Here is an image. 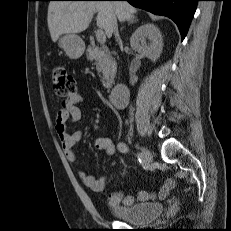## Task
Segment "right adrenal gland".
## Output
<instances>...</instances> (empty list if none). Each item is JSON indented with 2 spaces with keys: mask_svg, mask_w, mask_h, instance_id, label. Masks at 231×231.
Segmentation results:
<instances>
[{
  "mask_svg": "<svg viewBox=\"0 0 231 231\" xmlns=\"http://www.w3.org/2000/svg\"><path fill=\"white\" fill-rule=\"evenodd\" d=\"M137 21H138V20H136V19H135V20L132 19V20L129 21L128 25L133 24V23H135V22H137ZM122 29H123V27H122L120 30L122 31Z\"/></svg>",
  "mask_w": 231,
  "mask_h": 231,
  "instance_id": "2a0ac1e0",
  "label": "right adrenal gland"
}]
</instances>
